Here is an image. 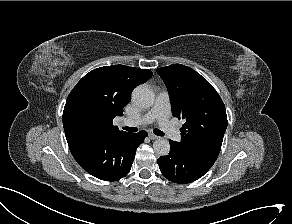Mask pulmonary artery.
Segmentation results:
<instances>
[{"mask_svg": "<svg viewBox=\"0 0 292 224\" xmlns=\"http://www.w3.org/2000/svg\"><path fill=\"white\" fill-rule=\"evenodd\" d=\"M171 104L169 95L165 92L160 93L152 108L143 116L137 119L127 118L124 124L127 126L147 125L157 121L161 129L172 140L180 139V132L170 121Z\"/></svg>", "mask_w": 292, "mask_h": 224, "instance_id": "pulmonary-artery-1", "label": "pulmonary artery"}]
</instances>
